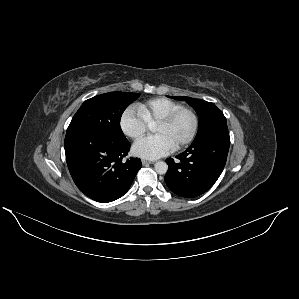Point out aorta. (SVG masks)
I'll use <instances>...</instances> for the list:
<instances>
[{
	"mask_svg": "<svg viewBox=\"0 0 299 299\" xmlns=\"http://www.w3.org/2000/svg\"><path fill=\"white\" fill-rule=\"evenodd\" d=\"M154 169H155V171H156L158 174L162 175V174H165V173L167 172V170H168V165H167L166 162L158 161V162L155 163V165H154Z\"/></svg>",
	"mask_w": 299,
	"mask_h": 299,
	"instance_id": "1",
	"label": "aorta"
}]
</instances>
